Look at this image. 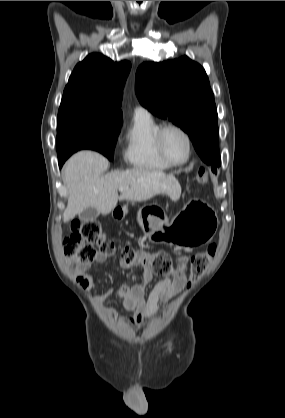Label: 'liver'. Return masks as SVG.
<instances>
[{
	"instance_id": "1",
	"label": "liver",
	"mask_w": 285,
	"mask_h": 418,
	"mask_svg": "<svg viewBox=\"0 0 285 418\" xmlns=\"http://www.w3.org/2000/svg\"><path fill=\"white\" fill-rule=\"evenodd\" d=\"M109 167L108 160L93 151L74 154L64 165L68 204L63 221L72 220L88 207H95L103 215L109 214L118 200L146 201L165 193L173 201L180 198L181 186L173 175L159 170L134 168L113 171L102 176ZM120 187L125 190L118 195Z\"/></svg>"
}]
</instances>
